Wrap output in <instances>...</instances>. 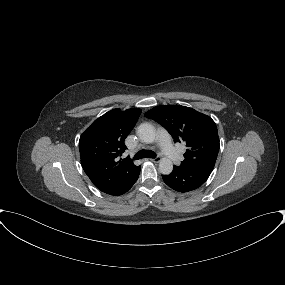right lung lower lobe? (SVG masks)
<instances>
[{
	"label": "right lung lower lobe",
	"instance_id": "98d812e1",
	"mask_svg": "<svg viewBox=\"0 0 285 285\" xmlns=\"http://www.w3.org/2000/svg\"><path fill=\"white\" fill-rule=\"evenodd\" d=\"M139 174H140V171L133 179H131L129 182H127L123 186L116 188L114 190L106 191L105 193L109 195H113V196H119V195L126 193L133 186V184L137 181Z\"/></svg>",
	"mask_w": 285,
	"mask_h": 285
}]
</instances>
